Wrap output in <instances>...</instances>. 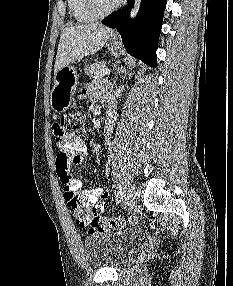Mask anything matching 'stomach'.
<instances>
[{
	"mask_svg": "<svg viewBox=\"0 0 233 286\" xmlns=\"http://www.w3.org/2000/svg\"><path fill=\"white\" fill-rule=\"evenodd\" d=\"M113 55H118L119 43L112 41L108 45ZM79 85L77 69L69 64L61 68L54 77V86L50 94V105L57 113L65 112L73 100V95Z\"/></svg>",
	"mask_w": 233,
	"mask_h": 286,
	"instance_id": "0dacf381",
	"label": "stomach"
}]
</instances>
